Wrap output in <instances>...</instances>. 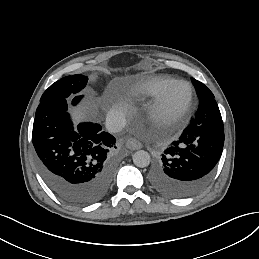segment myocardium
<instances>
[{
	"label": "myocardium",
	"instance_id": "1",
	"mask_svg": "<svg viewBox=\"0 0 259 259\" xmlns=\"http://www.w3.org/2000/svg\"><path fill=\"white\" fill-rule=\"evenodd\" d=\"M151 78H153L161 83L182 81L188 85V87L190 89V94H191L189 102L177 114H175L173 117L168 119V121L171 122L175 126L180 124L181 122H183L190 115V113L193 111V109L196 106L197 92H196V88L193 85V83L186 79H183L181 77L174 76V75L166 77V78H163L159 75H149L144 79H138V80L146 87V82ZM150 102L153 103L152 101H150Z\"/></svg>",
	"mask_w": 259,
	"mask_h": 259
}]
</instances>
